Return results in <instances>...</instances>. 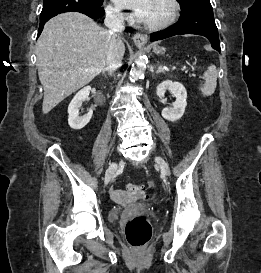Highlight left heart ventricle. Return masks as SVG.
Returning a JSON list of instances; mask_svg holds the SVG:
<instances>
[{
	"label": "left heart ventricle",
	"mask_w": 261,
	"mask_h": 273,
	"mask_svg": "<svg viewBox=\"0 0 261 273\" xmlns=\"http://www.w3.org/2000/svg\"><path fill=\"white\" fill-rule=\"evenodd\" d=\"M170 7L166 0H153L151 10L146 23H157L163 21L169 14Z\"/></svg>",
	"instance_id": "1"
}]
</instances>
